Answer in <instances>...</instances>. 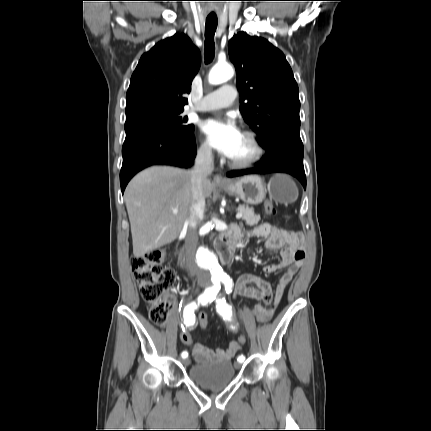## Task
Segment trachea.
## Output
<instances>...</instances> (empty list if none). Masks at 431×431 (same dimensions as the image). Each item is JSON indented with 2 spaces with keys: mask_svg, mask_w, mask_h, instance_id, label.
<instances>
[{
  "mask_svg": "<svg viewBox=\"0 0 431 431\" xmlns=\"http://www.w3.org/2000/svg\"><path fill=\"white\" fill-rule=\"evenodd\" d=\"M218 19L207 17L205 24V63L212 62L215 55L214 35L217 28Z\"/></svg>",
  "mask_w": 431,
  "mask_h": 431,
  "instance_id": "1",
  "label": "trachea"
}]
</instances>
